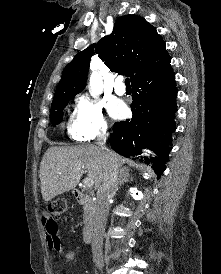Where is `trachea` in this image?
Returning a JSON list of instances; mask_svg holds the SVG:
<instances>
[{
  "mask_svg": "<svg viewBox=\"0 0 221 274\" xmlns=\"http://www.w3.org/2000/svg\"><path fill=\"white\" fill-rule=\"evenodd\" d=\"M125 85H126V86H130L129 78H126V79H125Z\"/></svg>",
  "mask_w": 221,
  "mask_h": 274,
  "instance_id": "3493384b",
  "label": "trachea"
}]
</instances>
